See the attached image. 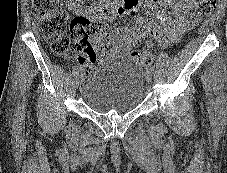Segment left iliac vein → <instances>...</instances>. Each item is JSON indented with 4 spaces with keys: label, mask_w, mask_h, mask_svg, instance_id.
Here are the masks:
<instances>
[{
    "label": "left iliac vein",
    "mask_w": 227,
    "mask_h": 173,
    "mask_svg": "<svg viewBox=\"0 0 227 173\" xmlns=\"http://www.w3.org/2000/svg\"><path fill=\"white\" fill-rule=\"evenodd\" d=\"M145 78H146V81L150 83L152 81V72L149 70H146Z\"/></svg>",
    "instance_id": "obj_1"
}]
</instances>
